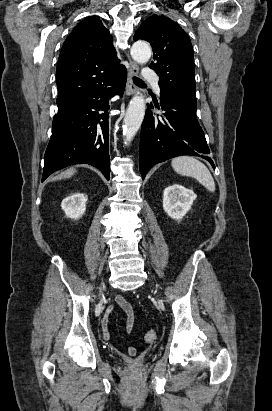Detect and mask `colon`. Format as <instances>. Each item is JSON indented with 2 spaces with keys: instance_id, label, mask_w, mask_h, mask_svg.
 <instances>
[{
  "instance_id": "colon-1",
  "label": "colon",
  "mask_w": 272,
  "mask_h": 411,
  "mask_svg": "<svg viewBox=\"0 0 272 411\" xmlns=\"http://www.w3.org/2000/svg\"><path fill=\"white\" fill-rule=\"evenodd\" d=\"M156 338H157V334H156L155 331H148V332H146L145 335H144V340H145L147 343L154 342V341L156 340Z\"/></svg>"
}]
</instances>
